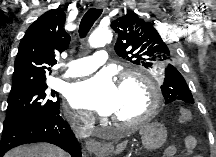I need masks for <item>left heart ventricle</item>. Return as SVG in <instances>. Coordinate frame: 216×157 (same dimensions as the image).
<instances>
[{"mask_svg": "<svg viewBox=\"0 0 216 157\" xmlns=\"http://www.w3.org/2000/svg\"><path fill=\"white\" fill-rule=\"evenodd\" d=\"M148 91L137 81H128L118 87V105L114 118L130 121L144 114L148 107Z\"/></svg>", "mask_w": 216, "mask_h": 157, "instance_id": "left-heart-ventricle-1", "label": "left heart ventricle"}]
</instances>
